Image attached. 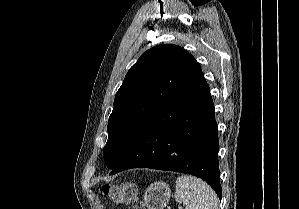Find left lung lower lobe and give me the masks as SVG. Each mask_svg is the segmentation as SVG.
Masks as SVG:
<instances>
[{
    "instance_id": "0a47b994",
    "label": "left lung lower lobe",
    "mask_w": 299,
    "mask_h": 209,
    "mask_svg": "<svg viewBox=\"0 0 299 209\" xmlns=\"http://www.w3.org/2000/svg\"><path fill=\"white\" fill-rule=\"evenodd\" d=\"M218 151L214 103L201 72L157 111L110 175L144 167L191 174L221 199Z\"/></svg>"
}]
</instances>
